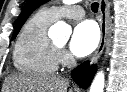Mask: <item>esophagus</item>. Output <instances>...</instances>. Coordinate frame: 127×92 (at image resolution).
Masks as SVG:
<instances>
[{
  "mask_svg": "<svg viewBox=\"0 0 127 92\" xmlns=\"http://www.w3.org/2000/svg\"><path fill=\"white\" fill-rule=\"evenodd\" d=\"M99 11H100V28H101V38L100 43L98 45L97 50L94 52L90 59V64L97 62L99 57L101 56L104 47L106 45V41L109 35V3L107 0L99 1Z\"/></svg>",
  "mask_w": 127,
  "mask_h": 92,
  "instance_id": "obj_1",
  "label": "esophagus"
}]
</instances>
